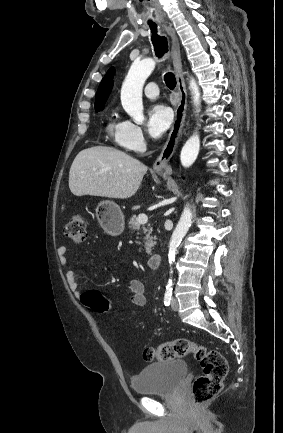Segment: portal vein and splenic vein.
<instances>
[{
  "label": "portal vein and splenic vein",
  "instance_id": "1",
  "mask_svg": "<svg viewBox=\"0 0 283 433\" xmlns=\"http://www.w3.org/2000/svg\"><path fill=\"white\" fill-rule=\"evenodd\" d=\"M137 221L138 223H140V225H144V223H147L148 221L147 214H138Z\"/></svg>",
  "mask_w": 283,
  "mask_h": 433
}]
</instances>
